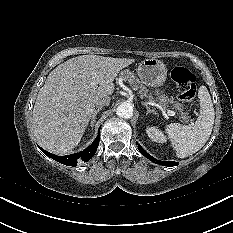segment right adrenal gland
<instances>
[{"mask_svg":"<svg viewBox=\"0 0 233 233\" xmlns=\"http://www.w3.org/2000/svg\"><path fill=\"white\" fill-rule=\"evenodd\" d=\"M102 109V107H98L94 113L92 114V117H91V121H90V126L93 127L95 121H96V116L98 114V112Z\"/></svg>","mask_w":233,"mask_h":233,"instance_id":"obj_1","label":"right adrenal gland"}]
</instances>
